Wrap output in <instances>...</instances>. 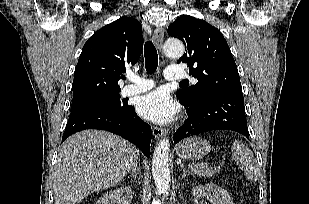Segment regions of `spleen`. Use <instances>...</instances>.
Returning <instances> with one entry per match:
<instances>
[{
    "label": "spleen",
    "mask_w": 309,
    "mask_h": 204,
    "mask_svg": "<svg viewBox=\"0 0 309 204\" xmlns=\"http://www.w3.org/2000/svg\"><path fill=\"white\" fill-rule=\"evenodd\" d=\"M232 155L239 168L244 171L245 177L255 183L259 178V166L253 152L242 142L235 141Z\"/></svg>",
    "instance_id": "spleen-1"
}]
</instances>
